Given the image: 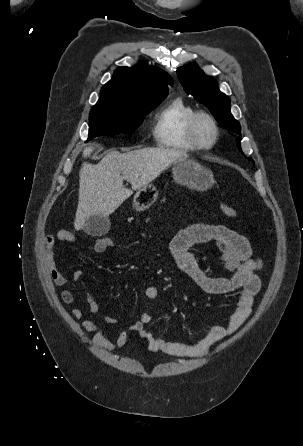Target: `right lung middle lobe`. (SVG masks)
Returning a JSON list of instances; mask_svg holds the SVG:
<instances>
[{
    "mask_svg": "<svg viewBox=\"0 0 303 446\" xmlns=\"http://www.w3.org/2000/svg\"><path fill=\"white\" fill-rule=\"evenodd\" d=\"M160 103L145 109L92 108L88 140L103 135L130 134L143 122V116Z\"/></svg>",
    "mask_w": 303,
    "mask_h": 446,
    "instance_id": "1",
    "label": "right lung middle lobe"
}]
</instances>
